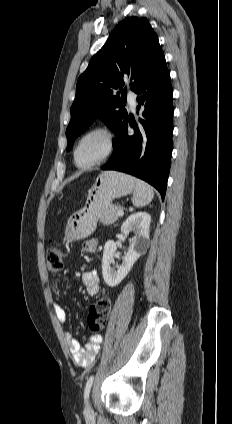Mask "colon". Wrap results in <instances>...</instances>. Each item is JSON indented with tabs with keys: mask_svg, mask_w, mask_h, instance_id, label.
Segmentation results:
<instances>
[{
	"mask_svg": "<svg viewBox=\"0 0 232 424\" xmlns=\"http://www.w3.org/2000/svg\"><path fill=\"white\" fill-rule=\"evenodd\" d=\"M45 260L47 269L50 272H57L62 268L63 254L57 247L51 245L45 252ZM111 307V300L107 297H102L90 308L87 323L92 332L97 333L104 327L111 312Z\"/></svg>",
	"mask_w": 232,
	"mask_h": 424,
	"instance_id": "colon-1",
	"label": "colon"
}]
</instances>
